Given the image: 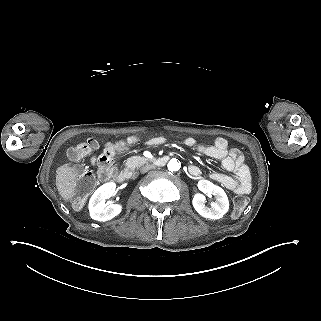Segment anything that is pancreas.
Instances as JSON below:
<instances>
[{"label": "pancreas", "mask_w": 321, "mask_h": 321, "mask_svg": "<svg viewBox=\"0 0 321 321\" xmlns=\"http://www.w3.org/2000/svg\"><path fill=\"white\" fill-rule=\"evenodd\" d=\"M150 161L149 158L143 157V156H133L126 160L127 166H142L144 164H147Z\"/></svg>", "instance_id": "obj_1"}]
</instances>
